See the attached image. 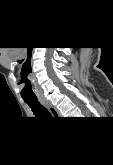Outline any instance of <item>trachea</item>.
<instances>
[{
  "label": "trachea",
  "instance_id": "obj_1",
  "mask_svg": "<svg viewBox=\"0 0 113 165\" xmlns=\"http://www.w3.org/2000/svg\"><path fill=\"white\" fill-rule=\"evenodd\" d=\"M25 103L29 105L32 112L37 117H51L47 108H45L38 100H25Z\"/></svg>",
  "mask_w": 113,
  "mask_h": 165
}]
</instances>
